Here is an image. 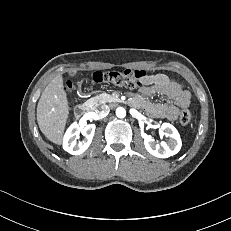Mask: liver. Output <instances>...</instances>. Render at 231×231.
Masks as SVG:
<instances>
[{
  "label": "liver",
  "instance_id": "1",
  "mask_svg": "<svg viewBox=\"0 0 231 231\" xmlns=\"http://www.w3.org/2000/svg\"><path fill=\"white\" fill-rule=\"evenodd\" d=\"M61 74L44 89L37 105V122L41 132L51 142L60 145L69 118V101Z\"/></svg>",
  "mask_w": 231,
  "mask_h": 231
}]
</instances>
